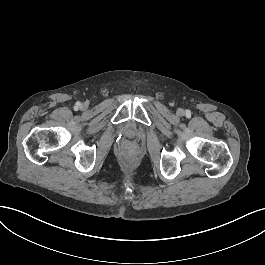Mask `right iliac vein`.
Wrapping results in <instances>:
<instances>
[{
    "label": "right iliac vein",
    "mask_w": 265,
    "mask_h": 265,
    "mask_svg": "<svg viewBox=\"0 0 265 265\" xmlns=\"http://www.w3.org/2000/svg\"><path fill=\"white\" fill-rule=\"evenodd\" d=\"M82 108L83 109H86L87 108V105L84 103V104H82Z\"/></svg>",
    "instance_id": "1"
}]
</instances>
